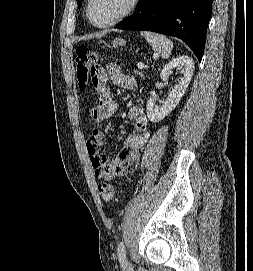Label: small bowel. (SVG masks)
I'll list each match as a JSON object with an SVG mask.
<instances>
[{
	"instance_id": "small-bowel-1",
	"label": "small bowel",
	"mask_w": 253,
	"mask_h": 271,
	"mask_svg": "<svg viewBox=\"0 0 253 271\" xmlns=\"http://www.w3.org/2000/svg\"><path fill=\"white\" fill-rule=\"evenodd\" d=\"M97 71L98 102L92 107L90 116L97 123H106L119 108L108 83L134 90L137 82L133 77L123 73L115 64L98 67ZM127 118L134 121L136 132L125 138L122 150L113 160L108 155L99 152L105 138L101 128H93L87 138L85 150L97 178L112 180L137 167L140 160V149L151 138V132L148 129V118L140 107H131L127 112Z\"/></svg>"
}]
</instances>
